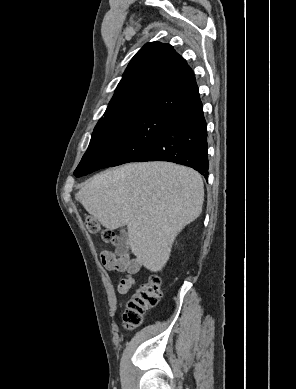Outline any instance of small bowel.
<instances>
[{
	"label": "small bowel",
	"instance_id": "obj_1",
	"mask_svg": "<svg viewBox=\"0 0 296 389\" xmlns=\"http://www.w3.org/2000/svg\"><path fill=\"white\" fill-rule=\"evenodd\" d=\"M107 258L113 259V264H109ZM102 263L108 270L125 272V276L118 284V291L126 294L134 286L136 276L141 269V262L138 258H131L128 252H123L119 256L112 252H104L101 255Z\"/></svg>",
	"mask_w": 296,
	"mask_h": 389
}]
</instances>
